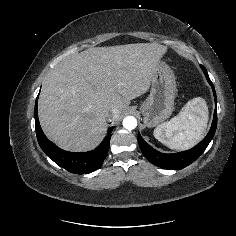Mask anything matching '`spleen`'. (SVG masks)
Listing matches in <instances>:
<instances>
[{"label":"spleen","instance_id":"3e777b00","mask_svg":"<svg viewBox=\"0 0 236 236\" xmlns=\"http://www.w3.org/2000/svg\"><path fill=\"white\" fill-rule=\"evenodd\" d=\"M208 123V107L204 99L188 101L179 114L154 129V137L170 149L186 150L202 138Z\"/></svg>","mask_w":236,"mask_h":236}]
</instances>
